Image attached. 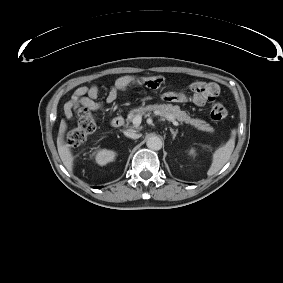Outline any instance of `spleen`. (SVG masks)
I'll return each instance as SVG.
<instances>
[{"instance_id":"1","label":"spleen","mask_w":283,"mask_h":283,"mask_svg":"<svg viewBox=\"0 0 283 283\" xmlns=\"http://www.w3.org/2000/svg\"><path fill=\"white\" fill-rule=\"evenodd\" d=\"M235 136L236 130L233 129L231 137L226 144L213 153L212 163L207 171L208 176H212L217 173L228 162L235 147Z\"/></svg>"}]
</instances>
